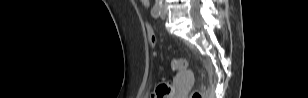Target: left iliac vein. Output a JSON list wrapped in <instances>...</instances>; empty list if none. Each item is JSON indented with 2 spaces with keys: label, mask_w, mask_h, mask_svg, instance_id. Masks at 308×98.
I'll return each mask as SVG.
<instances>
[{
  "label": "left iliac vein",
  "mask_w": 308,
  "mask_h": 98,
  "mask_svg": "<svg viewBox=\"0 0 308 98\" xmlns=\"http://www.w3.org/2000/svg\"><path fill=\"white\" fill-rule=\"evenodd\" d=\"M167 17V10L165 8V6H162L161 8V18L165 19Z\"/></svg>",
  "instance_id": "1"
}]
</instances>
